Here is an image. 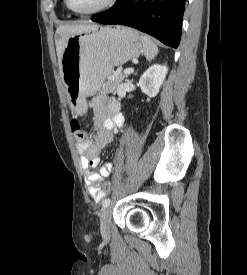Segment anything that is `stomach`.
I'll list each match as a JSON object with an SVG mask.
<instances>
[{"label":"stomach","mask_w":247,"mask_h":275,"mask_svg":"<svg viewBox=\"0 0 247 275\" xmlns=\"http://www.w3.org/2000/svg\"><path fill=\"white\" fill-rule=\"evenodd\" d=\"M144 51L139 34L127 27H100L71 36L61 66L71 111L83 115L86 98L95 95L113 72Z\"/></svg>","instance_id":"obj_1"}]
</instances>
